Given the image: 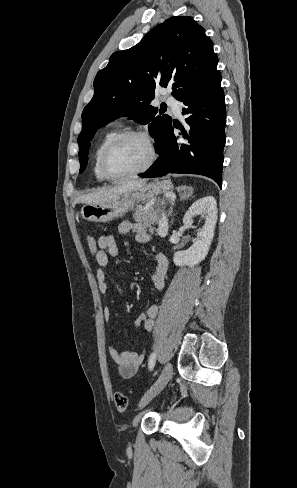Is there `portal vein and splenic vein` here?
<instances>
[{"label":"portal vein and splenic vein","instance_id":"portal-vein-and-splenic-vein-1","mask_svg":"<svg viewBox=\"0 0 297 488\" xmlns=\"http://www.w3.org/2000/svg\"><path fill=\"white\" fill-rule=\"evenodd\" d=\"M162 211V210H161ZM161 222H160V230L164 228V226L167 224L168 221V215L164 212H161Z\"/></svg>","mask_w":297,"mask_h":488}]
</instances>
